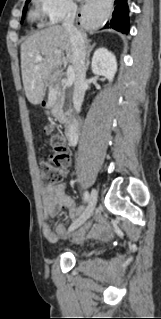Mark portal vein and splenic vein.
Wrapping results in <instances>:
<instances>
[{
  "instance_id": "obj_1",
  "label": "portal vein and splenic vein",
  "mask_w": 161,
  "mask_h": 319,
  "mask_svg": "<svg viewBox=\"0 0 161 319\" xmlns=\"http://www.w3.org/2000/svg\"><path fill=\"white\" fill-rule=\"evenodd\" d=\"M42 59H43L42 56L37 57L38 61H41ZM74 77H75L74 69L72 66H69L67 69V81H66L67 87H70L73 84Z\"/></svg>"
}]
</instances>
